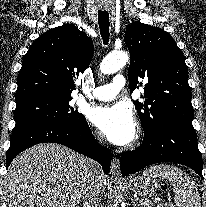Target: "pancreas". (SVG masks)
Masks as SVG:
<instances>
[{
    "label": "pancreas",
    "instance_id": "1",
    "mask_svg": "<svg viewBox=\"0 0 206 207\" xmlns=\"http://www.w3.org/2000/svg\"><path fill=\"white\" fill-rule=\"evenodd\" d=\"M141 203H142V205H140L141 207H153L154 205L151 201L148 200H141Z\"/></svg>",
    "mask_w": 206,
    "mask_h": 207
}]
</instances>
